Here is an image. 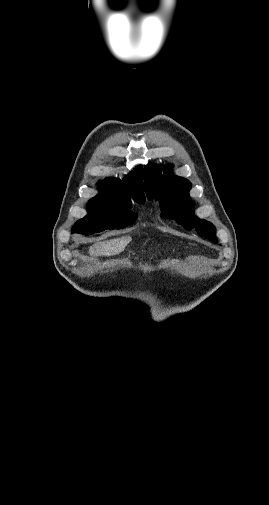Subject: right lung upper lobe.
Returning <instances> with one entry per match:
<instances>
[{"label": "right lung upper lobe", "mask_w": 269, "mask_h": 505, "mask_svg": "<svg viewBox=\"0 0 269 505\" xmlns=\"http://www.w3.org/2000/svg\"><path fill=\"white\" fill-rule=\"evenodd\" d=\"M113 186H115L114 189ZM99 190L100 193L91 200L123 201L130 200L131 196L135 201H145L142 167H136L123 181L118 179L102 181L99 184Z\"/></svg>", "instance_id": "1"}]
</instances>
